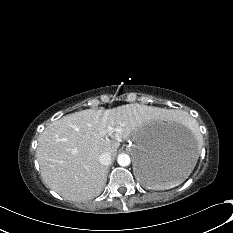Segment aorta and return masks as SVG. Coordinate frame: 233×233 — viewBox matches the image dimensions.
<instances>
[{
	"mask_svg": "<svg viewBox=\"0 0 233 233\" xmlns=\"http://www.w3.org/2000/svg\"><path fill=\"white\" fill-rule=\"evenodd\" d=\"M117 162L120 166L126 167L130 164L131 160H130L129 155L120 154L117 158Z\"/></svg>",
	"mask_w": 233,
	"mask_h": 233,
	"instance_id": "obj_1",
	"label": "aorta"
}]
</instances>
